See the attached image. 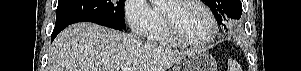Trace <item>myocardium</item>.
<instances>
[{
	"label": "myocardium",
	"mask_w": 301,
	"mask_h": 71,
	"mask_svg": "<svg viewBox=\"0 0 301 71\" xmlns=\"http://www.w3.org/2000/svg\"><path fill=\"white\" fill-rule=\"evenodd\" d=\"M170 2L178 3V4H185L191 3L201 7L205 13L207 14L210 24H211V31L207 38L201 41H193L187 39L180 31L176 23L173 19L162 9V15L165 22L166 29L170 36L178 43L184 46L190 47H205L209 45L216 37L218 31L217 20L212 13V11L202 2L199 0H169Z\"/></svg>",
	"instance_id": "f54148a6"
}]
</instances>
